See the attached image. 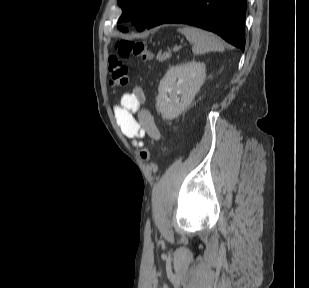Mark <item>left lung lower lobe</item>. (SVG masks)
Segmentation results:
<instances>
[{"mask_svg":"<svg viewBox=\"0 0 309 288\" xmlns=\"http://www.w3.org/2000/svg\"><path fill=\"white\" fill-rule=\"evenodd\" d=\"M245 16L246 0H168L145 28L164 23L190 24L212 31L244 51Z\"/></svg>","mask_w":309,"mask_h":288,"instance_id":"left-lung-lower-lobe-1","label":"left lung lower lobe"}]
</instances>
